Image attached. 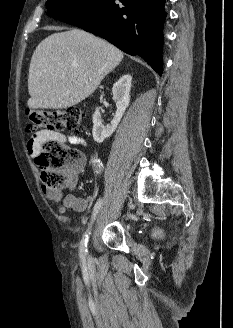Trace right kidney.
Wrapping results in <instances>:
<instances>
[{
  "mask_svg": "<svg viewBox=\"0 0 233 328\" xmlns=\"http://www.w3.org/2000/svg\"><path fill=\"white\" fill-rule=\"evenodd\" d=\"M132 76L125 74L114 83L112 88L113 97L116 100L117 111L111 121L110 126H104L102 124L101 113L99 108H96L93 114V139L97 143H102L106 138L110 137L116 130L126 108L130 103V90H131Z\"/></svg>",
  "mask_w": 233,
  "mask_h": 328,
  "instance_id": "right-kidney-1",
  "label": "right kidney"
}]
</instances>
